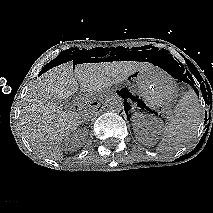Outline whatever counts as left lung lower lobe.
Returning a JSON list of instances; mask_svg holds the SVG:
<instances>
[{"mask_svg": "<svg viewBox=\"0 0 213 213\" xmlns=\"http://www.w3.org/2000/svg\"><path fill=\"white\" fill-rule=\"evenodd\" d=\"M195 90V89H194ZM118 94L122 97V98H124V102H125V100H127L126 98H129V92L128 91H126V90H121V91H118ZM198 95H199V93H198ZM124 105H125V103H124Z\"/></svg>", "mask_w": 213, "mask_h": 213, "instance_id": "obj_1", "label": "left lung lower lobe"}]
</instances>
